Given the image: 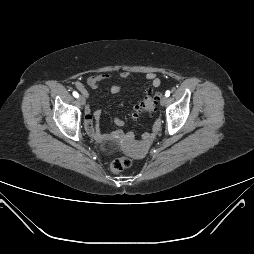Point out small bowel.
Returning <instances> with one entry per match:
<instances>
[{"mask_svg": "<svg viewBox=\"0 0 254 254\" xmlns=\"http://www.w3.org/2000/svg\"><path fill=\"white\" fill-rule=\"evenodd\" d=\"M129 76H130V72H128V71H122L116 75V77L119 79H126ZM111 78H112V75H109V74L94 75V76H91L87 79V85L91 89H96L102 82H104L108 79H111ZM146 79L151 81V83L154 87H157L160 85V79L155 73L146 74ZM75 87L79 91H81L83 94L87 95V90L81 81H76ZM120 91H121V86H119V85H113L110 88V92L112 94H118ZM100 115H101L100 109H97L94 112H92L90 105L87 106V108L85 110V129H86L87 134L90 137H92L97 142H104V141L113 140L116 138H124L127 140L130 139V136L128 134H124L121 131H116L111 134L101 133L99 124H98ZM114 122L119 126L123 125V121L118 118H115ZM159 127H160V122L156 121L154 124L153 130L157 131L159 129ZM149 139H150L149 134L144 135L142 144L143 145L147 144L149 142Z\"/></svg>", "mask_w": 254, "mask_h": 254, "instance_id": "1", "label": "small bowel"}]
</instances>
